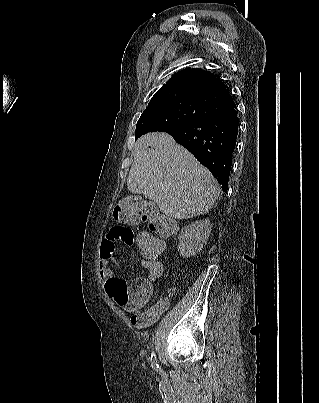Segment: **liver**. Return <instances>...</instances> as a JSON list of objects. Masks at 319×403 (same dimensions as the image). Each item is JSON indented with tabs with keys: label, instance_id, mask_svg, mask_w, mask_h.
I'll use <instances>...</instances> for the list:
<instances>
[{
	"label": "liver",
	"instance_id": "liver-1",
	"mask_svg": "<svg viewBox=\"0 0 319 403\" xmlns=\"http://www.w3.org/2000/svg\"><path fill=\"white\" fill-rule=\"evenodd\" d=\"M127 187L179 220L208 213L220 194L211 172L164 132L148 133L136 141Z\"/></svg>",
	"mask_w": 319,
	"mask_h": 403
}]
</instances>
